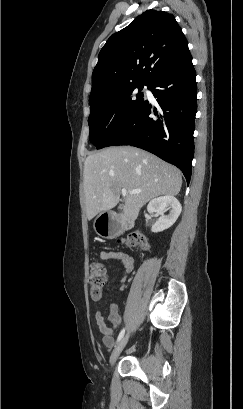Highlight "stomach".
Masks as SVG:
<instances>
[{"instance_id":"obj_1","label":"stomach","mask_w":243,"mask_h":409,"mask_svg":"<svg viewBox=\"0 0 243 409\" xmlns=\"http://www.w3.org/2000/svg\"><path fill=\"white\" fill-rule=\"evenodd\" d=\"M103 214V213H102ZM102 214H100L94 221V230L96 233L104 238H110L113 236L112 232L108 228V225H104L100 219L102 217Z\"/></svg>"}]
</instances>
